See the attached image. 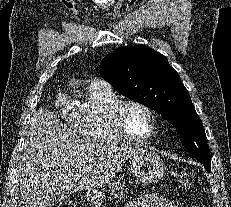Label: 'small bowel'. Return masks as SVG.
<instances>
[{"mask_svg":"<svg viewBox=\"0 0 231 207\" xmlns=\"http://www.w3.org/2000/svg\"><path fill=\"white\" fill-rule=\"evenodd\" d=\"M126 207H180L175 200L159 195H142L130 201Z\"/></svg>","mask_w":231,"mask_h":207,"instance_id":"small-bowel-1","label":"small bowel"}]
</instances>
